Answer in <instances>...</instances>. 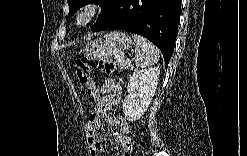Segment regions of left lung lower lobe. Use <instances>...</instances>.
<instances>
[{"label":"left lung lower lobe","instance_id":"0a47b994","mask_svg":"<svg viewBox=\"0 0 247 156\" xmlns=\"http://www.w3.org/2000/svg\"><path fill=\"white\" fill-rule=\"evenodd\" d=\"M181 0H116L93 32L126 30L146 37L162 52L165 64L173 54Z\"/></svg>","mask_w":247,"mask_h":156}]
</instances>
